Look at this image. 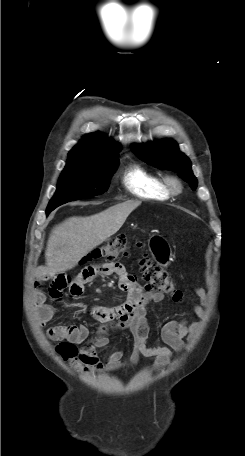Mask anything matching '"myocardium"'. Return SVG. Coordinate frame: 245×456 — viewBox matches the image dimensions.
<instances>
[{
	"instance_id": "1",
	"label": "myocardium",
	"mask_w": 245,
	"mask_h": 456,
	"mask_svg": "<svg viewBox=\"0 0 245 456\" xmlns=\"http://www.w3.org/2000/svg\"><path fill=\"white\" fill-rule=\"evenodd\" d=\"M164 183L166 188L171 194H177L181 191L182 189V183L181 181L174 176H169L164 179Z\"/></svg>"
}]
</instances>
